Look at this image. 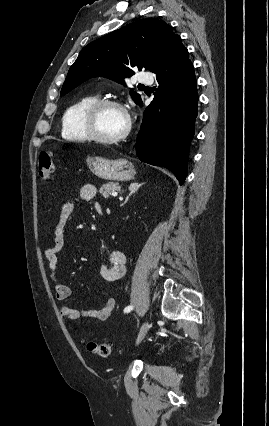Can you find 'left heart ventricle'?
Instances as JSON below:
<instances>
[{
	"mask_svg": "<svg viewBox=\"0 0 269 426\" xmlns=\"http://www.w3.org/2000/svg\"><path fill=\"white\" fill-rule=\"evenodd\" d=\"M126 126L125 113L116 107L102 108L95 121L97 133L105 138H113L122 133Z\"/></svg>",
	"mask_w": 269,
	"mask_h": 426,
	"instance_id": "1",
	"label": "left heart ventricle"
}]
</instances>
